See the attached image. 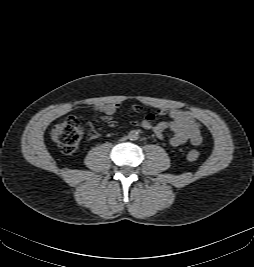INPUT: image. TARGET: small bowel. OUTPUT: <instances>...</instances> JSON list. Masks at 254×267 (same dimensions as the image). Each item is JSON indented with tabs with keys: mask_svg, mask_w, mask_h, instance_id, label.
Here are the masks:
<instances>
[{
	"mask_svg": "<svg viewBox=\"0 0 254 267\" xmlns=\"http://www.w3.org/2000/svg\"><path fill=\"white\" fill-rule=\"evenodd\" d=\"M120 107V103H100L96 104L93 107V110L102 114V119L104 121H109L111 116ZM132 110L139 112L141 111V106L133 105ZM156 114H168L170 120L153 123ZM156 114L150 112L146 114L143 120L133 121L132 124L135 126H141L145 130H152L158 138H162L164 132L166 130H170L172 132L170 144L174 147L180 146L186 142H190L195 146L201 144V125L191 113L180 109L168 110L166 108H159Z\"/></svg>",
	"mask_w": 254,
	"mask_h": 267,
	"instance_id": "c3829d8e",
	"label": "small bowel"
}]
</instances>
